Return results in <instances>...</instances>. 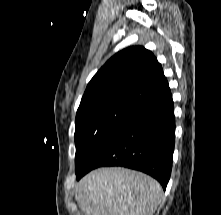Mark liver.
Listing matches in <instances>:
<instances>
[{"label":"liver","instance_id":"6515ba94","mask_svg":"<svg viewBox=\"0 0 221 215\" xmlns=\"http://www.w3.org/2000/svg\"><path fill=\"white\" fill-rule=\"evenodd\" d=\"M163 198L152 177L126 168H99L75 186L84 215H153Z\"/></svg>","mask_w":221,"mask_h":215}]
</instances>
